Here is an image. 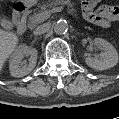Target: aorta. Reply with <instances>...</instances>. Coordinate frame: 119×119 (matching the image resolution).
Wrapping results in <instances>:
<instances>
[{
    "label": "aorta",
    "instance_id": "762f6f07",
    "mask_svg": "<svg viewBox=\"0 0 119 119\" xmlns=\"http://www.w3.org/2000/svg\"><path fill=\"white\" fill-rule=\"evenodd\" d=\"M53 28L56 34H65L68 31V23L65 20H59L56 23H54Z\"/></svg>",
    "mask_w": 119,
    "mask_h": 119
}]
</instances>
